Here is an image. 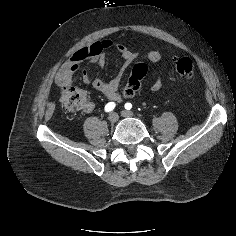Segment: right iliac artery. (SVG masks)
<instances>
[{"label":"right iliac artery","mask_w":236,"mask_h":236,"mask_svg":"<svg viewBox=\"0 0 236 236\" xmlns=\"http://www.w3.org/2000/svg\"><path fill=\"white\" fill-rule=\"evenodd\" d=\"M116 104L114 102H109L105 106V112H110L115 108Z\"/></svg>","instance_id":"82829eb1"}]
</instances>
